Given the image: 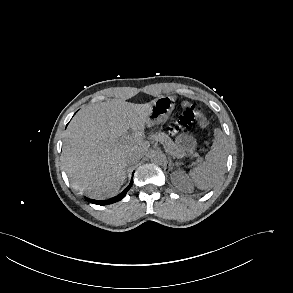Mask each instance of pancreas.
I'll use <instances>...</instances> for the list:
<instances>
[{
  "mask_svg": "<svg viewBox=\"0 0 293 293\" xmlns=\"http://www.w3.org/2000/svg\"><path fill=\"white\" fill-rule=\"evenodd\" d=\"M152 139L155 141H159L161 144H163L169 153L175 156H180L178 148L176 147L172 139L165 133L155 134L152 136Z\"/></svg>",
  "mask_w": 293,
  "mask_h": 293,
  "instance_id": "pancreas-1",
  "label": "pancreas"
}]
</instances>
